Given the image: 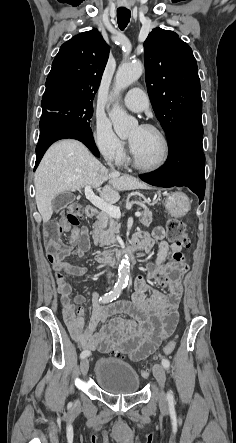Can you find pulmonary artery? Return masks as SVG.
<instances>
[{
  "label": "pulmonary artery",
  "instance_id": "1",
  "mask_svg": "<svg viewBox=\"0 0 236 443\" xmlns=\"http://www.w3.org/2000/svg\"><path fill=\"white\" fill-rule=\"evenodd\" d=\"M124 104L130 110L140 112L148 108L149 100L142 89L132 88L126 93Z\"/></svg>",
  "mask_w": 236,
  "mask_h": 443
}]
</instances>
